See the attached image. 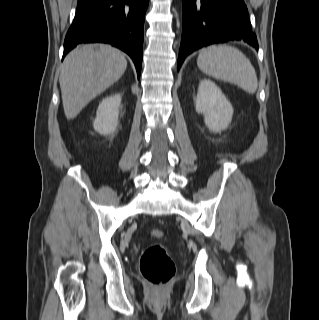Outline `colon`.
<instances>
[{
    "instance_id": "5ec220e1",
    "label": "colon",
    "mask_w": 319,
    "mask_h": 320,
    "mask_svg": "<svg viewBox=\"0 0 319 320\" xmlns=\"http://www.w3.org/2000/svg\"><path fill=\"white\" fill-rule=\"evenodd\" d=\"M150 235L155 239H161L164 237V232L161 229H153ZM140 271L144 279L158 293L173 278L175 265L165 246L156 243L145 249L140 260Z\"/></svg>"
}]
</instances>
